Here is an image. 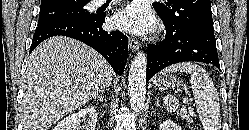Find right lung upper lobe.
I'll list each match as a JSON object with an SVG mask.
<instances>
[{"label": "right lung upper lobe", "instance_id": "right-lung-upper-lobe-1", "mask_svg": "<svg viewBox=\"0 0 249 130\" xmlns=\"http://www.w3.org/2000/svg\"><path fill=\"white\" fill-rule=\"evenodd\" d=\"M82 2H89V0H42L40 9L67 8Z\"/></svg>", "mask_w": 249, "mask_h": 130}]
</instances>
